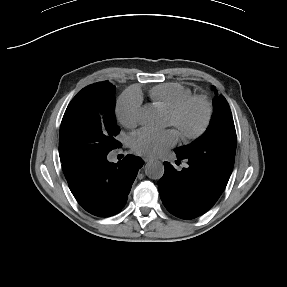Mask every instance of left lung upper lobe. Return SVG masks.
I'll list each match as a JSON object with an SVG mask.
<instances>
[{"label":"left lung upper lobe","instance_id":"5c2ea615","mask_svg":"<svg viewBox=\"0 0 287 287\" xmlns=\"http://www.w3.org/2000/svg\"><path fill=\"white\" fill-rule=\"evenodd\" d=\"M214 112L205 133L189 145L174 151L210 169L215 179L227 184L232 173L237 137L230 107L215 90Z\"/></svg>","mask_w":287,"mask_h":287}]
</instances>
